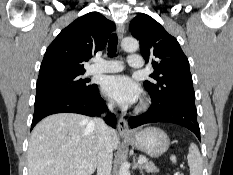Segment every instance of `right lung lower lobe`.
<instances>
[{
    "label": "right lung lower lobe",
    "instance_id": "right-lung-lower-lobe-1",
    "mask_svg": "<svg viewBox=\"0 0 233 175\" xmlns=\"http://www.w3.org/2000/svg\"><path fill=\"white\" fill-rule=\"evenodd\" d=\"M107 111V106L99 95L97 85L91 91L71 94L56 93L47 94L35 99V111L31 129L44 117L55 113H79L88 116H99ZM105 121L108 125L116 128V117L109 114Z\"/></svg>",
    "mask_w": 233,
    "mask_h": 175
}]
</instances>
